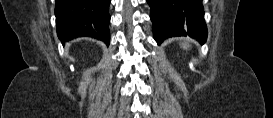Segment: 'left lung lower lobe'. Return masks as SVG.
Segmentation results:
<instances>
[{"mask_svg":"<svg viewBox=\"0 0 273 118\" xmlns=\"http://www.w3.org/2000/svg\"><path fill=\"white\" fill-rule=\"evenodd\" d=\"M158 44L173 36H187L204 43L207 27L202 0H147Z\"/></svg>","mask_w":273,"mask_h":118,"instance_id":"0a47b994","label":"left lung lower lobe"}]
</instances>
